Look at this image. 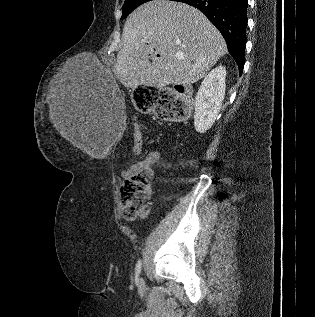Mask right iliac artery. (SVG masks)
Segmentation results:
<instances>
[{"label": "right iliac artery", "mask_w": 315, "mask_h": 317, "mask_svg": "<svg viewBox=\"0 0 315 317\" xmlns=\"http://www.w3.org/2000/svg\"><path fill=\"white\" fill-rule=\"evenodd\" d=\"M141 260H139L137 262V265H136V268H135V274H136V277H139L140 273H141Z\"/></svg>", "instance_id": "82829eb1"}]
</instances>
